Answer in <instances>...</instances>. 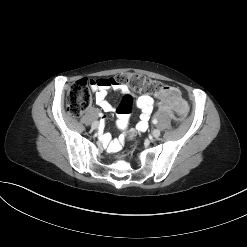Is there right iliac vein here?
<instances>
[{
    "label": "right iliac vein",
    "instance_id": "right-iliac-vein-1",
    "mask_svg": "<svg viewBox=\"0 0 247 247\" xmlns=\"http://www.w3.org/2000/svg\"><path fill=\"white\" fill-rule=\"evenodd\" d=\"M99 127V122L98 121H95L92 123V128L93 129H97Z\"/></svg>",
    "mask_w": 247,
    "mask_h": 247
}]
</instances>
